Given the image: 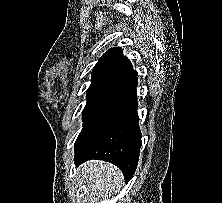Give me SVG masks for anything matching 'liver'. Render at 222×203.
Wrapping results in <instances>:
<instances>
[{"instance_id": "6515ba94", "label": "liver", "mask_w": 222, "mask_h": 203, "mask_svg": "<svg viewBox=\"0 0 222 203\" xmlns=\"http://www.w3.org/2000/svg\"><path fill=\"white\" fill-rule=\"evenodd\" d=\"M80 172L92 194L102 197L110 196L123 184L121 170L108 162L88 161L80 166Z\"/></svg>"}]
</instances>
